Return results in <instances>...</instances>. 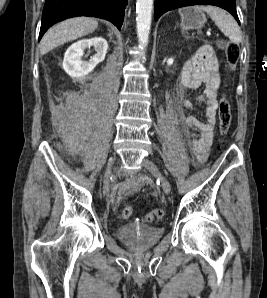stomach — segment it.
Instances as JSON below:
<instances>
[{
  "instance_id": "obj_1",
  "label": "stomach",
  "mask_w": 267,
  "mask_h": 298,
  "mask_svg": "<svg viewBox=\"0 0 267 298\" xmlns=\"http://www.w3.org/2000/svg\"><path fill=\"white\" fill-rule=\"evenodd\" d=\"M181 17L180 27L183 31L192 30V29H201L205 22V14L195 9L194 7H185L179 10Z\"/></svg>"
}]
</instances>
